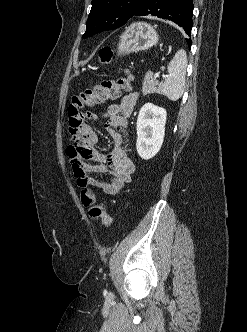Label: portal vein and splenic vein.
Here are the masks:
<instances>
[{
  "instance_id": "portal-vein-and-splenic-vein-1",
  "label": "portal vein and splenic vein",
  "mask_w": 247,
  "mask_h": 332,
  "mask_svg": "<svg viewBox=\"0 0 247 332\" xmlns=\"http://www.w3.org/2000/svg\"><path fill=\"white\" fill-rule=\"evenodd\" d=\"M159 75H160V73H159V72L155 73V75H154V78H155V79H156V78H158V77H159ZM163 77H165V75H163Z\"/></svg>"
}]
</instances>
